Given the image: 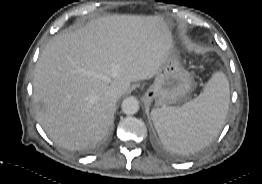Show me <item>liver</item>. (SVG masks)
Wrapping results in <instances>:
<instances>
[{
	"label": "liver",
	"mask_w": 262,
	"mask_h": 184,
	"mask_svg": "<svg viewBox=\"0 0 262 184\" xmlns=\"http://www.w3.org/2000/svg\"><path fill=\"white\" fill-rule=\"evenodd\" d=\"M169 26L160 16L108 15L53 37L33 79L36 117L56 144L79 150L102 140L116 101L131 82L153 78L172 53Z\"/></svg>",
	"instance_id": "obj_1"
}]
</instances>
